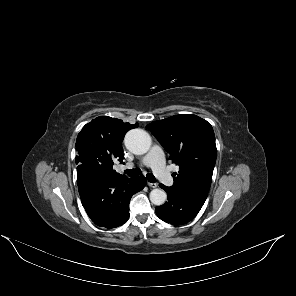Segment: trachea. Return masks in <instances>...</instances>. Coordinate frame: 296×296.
Segmentation results:
<instances>
[{
    "mask_svg": "<svg viewBox=\"0 0 296 296\" xmlns=\"http://www.w3.org/2000/svg\"><path fill=\"white\" fill-rule=\"evenodd\" d=\"M125 173L129 176V177H136L138 175L141 174V170L140 169H128V170H125ZM146 178L147 180L150 182V183H155L156 182V178L154 177V175L152 173H148L146 175Z\"/></svg>",
    "mask_w": 296,
    "mask_h": 296,
    "instance_id": "trachea-1",
    "label": "trachea"
}]
</instances>
